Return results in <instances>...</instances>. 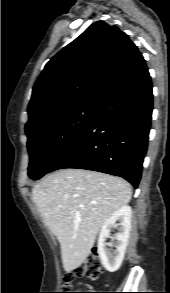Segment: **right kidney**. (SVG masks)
Returning a JSON list of instances; mask_svg holds the SVG:
<instances>
[{
	"instance_id": "ca27d5eb",
	"label": "right kidney",
	"mask_w": 170,
	"mask_h": 293,
	"mask_svg": "<svg viewBox=\"0 0 170 293\" xmlns=\"http://www.w3.org/2000/svg\"><path fill=\"white\" fill-rule=\"evenodd\" d=\"M131 216V207L125 205L114 212L102 225L98 238V253L102 265L109 272L117 271L124 259L131 228ZM114 228H117L118 232L115 235V250H112L107 248L106 239Z\"/></svg>"
}]
</instances>
